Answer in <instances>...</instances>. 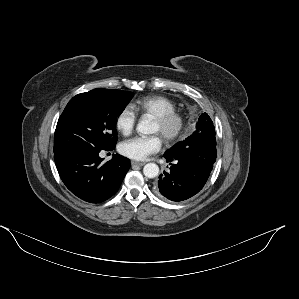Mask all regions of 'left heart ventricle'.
<instances>
[{
	"label": "left heart ventricle",
	"instance_id": "left-heart-ventricle-1",
	"mask_svg": "<svg viewBox=\"0 0 299 299\" xmlns=\"http://www.w3.org/2000/svg\"><path fill=\"white\" fill-rule=\"evenodd\" d=\"M152 132L153 133H159L162 135L163 133V128L156 122H153V126H152Z\"/></svg>",
	"mask_w": 299,
	"mask_h": 299
}]
</instances>
